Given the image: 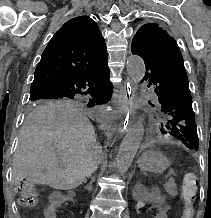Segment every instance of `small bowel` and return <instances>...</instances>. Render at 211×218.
Instances as JSON below:
<instances>
[{
	"instance_id": "c3829d8e",
	"label": "small bowel",
	"mask_w": 211,
	"mask_h": 218,
	"mask_svg": "<svg viewBox=\"0 0 211 218\" xmlns=\"http://www.w3.org/2000/svg\"><path fill=\"white\" fill-rule=\"evenodd\" d=\"M152 209L154 210L153 218H167L166 212L167 208L162 202H155L152 205ZM45 218H56L57 217V208L55 205H50L44 210Z\"/></svg>"
}]
</instances>
